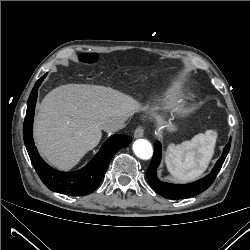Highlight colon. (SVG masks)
Masks as SVG:
<instances>
[{
    "label": "colon",
    "instance_id": "1",
    "mask_svg": "<svg viewBox=\"0 0 250 250\" xmlns=\"http://www.w3.org/2000/svg\"><path fill=\"white\" fill-rule=\"evenodd\" d=\"M79 60L85 64H93L96 62V55L92 53H83L79 56Z\"/></svg>",
    "mask_w": 250,
    "mask_h": 250
}]
</instances>
